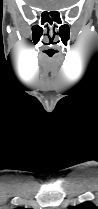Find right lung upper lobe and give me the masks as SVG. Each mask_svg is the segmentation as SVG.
I'll return each mask as SVG.
<instances>
[{
	"instance_id": "obj_1",
	"label": "right lung upper lobe",
	"mask_w": 98,
	"mask_h": 209,
	"mask_svg": "<svg viewBox=\"0 0 98 209\" xmlns=\"http://www.w3.org/2000/svg\"><path fill=\"white\" fill-rule=\"evenodd\" d=\"M16 209H25V208H16Z\"/></svg>"
}]
</instances>
